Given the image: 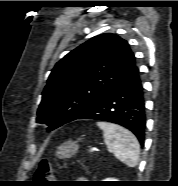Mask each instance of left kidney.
Here are the masks:
<instances>
[{
    "mask_svg": "<svg viewBox=\"0 0 178 186\" xmlns=\"http://www.w3.org/2000/svg\"><path fill=\"white\" fill-rule=\"evenodd\" d=\"M106 181H115V180H113V179H107Z\"/></svg>",
    "mask_w": 178,
    "mask_h": 186,
    "instance_id": "5707ae66",
    "label": "left kidney"
}]
</instances>
